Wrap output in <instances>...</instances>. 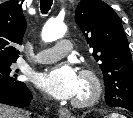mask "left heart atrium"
<instances>
[{"instance_id": "left-heart-atrium-1", "label": "left heart atrium", "mask_w": 133, "mask_h": 118, "mask_svg": "<svg viewBox=\"0 0 133 118\" xmlns=\"http://www.w3.org/2000/svg\"><path fill=\"white\" fill-rule=\"evenodd\" d=\"M37 83L56 99H72L80 89L81 80L71 66L61 65L41 74Z\"/></svg>"}]
</instances>
